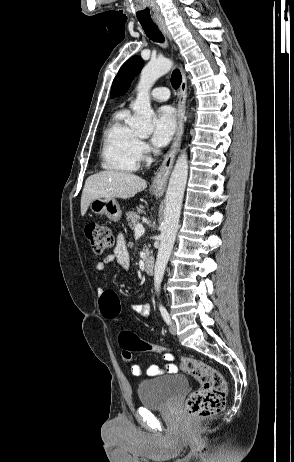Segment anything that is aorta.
<instances>
[{
  "instance_id": "762f6f07",
  "label": "aorta",
  "mask_w": 294,
  "mask_h": 462,
  "mask_svg": "<svg viewBox=\"0 0 294 462\" xmlns=\"http://www.w3.org/2000/svg\"><path fill=\"white\" fill-rule=\"evenodd\" d=\"M171 67L172 61L170 59L158 58L151 60L141 71L137 86V98L133 104L134 115L129 121V126L141 134H151L154 129L151 122L153 110L150 104V89L158 78L170 71ZM187 176L188 159L186 151L183 150L171 173L165 197L160 246L154 268V287L158 293L179 227Z\"/></svg>"
}]
</instances>
